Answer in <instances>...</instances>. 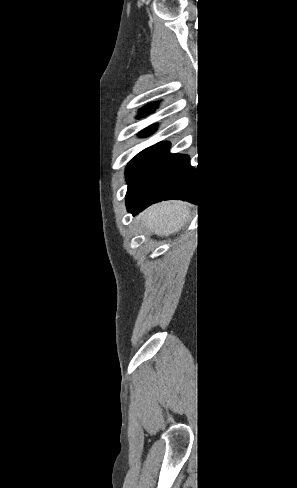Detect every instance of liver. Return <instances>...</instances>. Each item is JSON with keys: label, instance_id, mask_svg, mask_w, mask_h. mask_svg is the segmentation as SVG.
<instances>
[{"label": "liver", "instance_id": "liver-1", "mask_svg": "<svg viewBox=\"0 0 297 488\" xmlns=\"http://www.w3.org/2000/svg\"><path fill=\"white\" fill-rule=\"evenodd\" d=\"M193 216L191 206L182 201H164L139 214L138 220L149 232L168 236L178 232Z\"/></svg>", "mask_w": 297, "mask_h": 488}]
</instances>
